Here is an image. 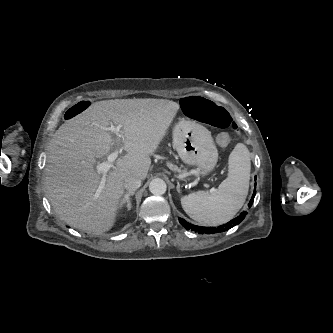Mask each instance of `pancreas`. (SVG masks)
<instances>
[{
    "mask_svg": "<svg viewBox=\"0 0 333 333\" xmlns=\"http://www.w3.org/2000/svg\"><path fill=\"white\" fill-rule=\"evenodd\" d=\"M168 166H169V168H170L172 171L178 172V173L181 174V175L187 173V170H186V169L181 170L180 168H178L177 166H175V165H173V164H168Z\"/></svg>",
    "mask_w": 333,
    "mask_h": 333,
    "instance_id": "1",
    "label": "pancreas"
}]
</instances>
